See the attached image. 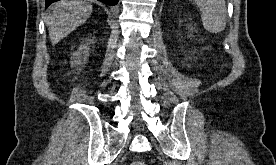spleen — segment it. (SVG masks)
Instances as JSON below:
<instances>
[{
	"label": "spleen",
	"instance_id": "spleen-1",
	"mask_svg": "<svg viewBox=\"0 0 276 165\" xmlns=\"http://www.w3.org/2000/svg\"><path fill=\"white\" fill-rule=\"evenodd\" d=\"M202 15L204 28L211 33H219L226 27L227 8L225 0H194Z\"/></svg>",
	"mask_w": 276,
	"mask_h": 165
}]
</instances>
